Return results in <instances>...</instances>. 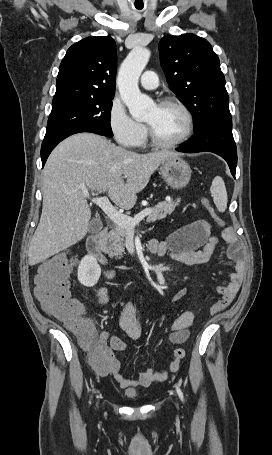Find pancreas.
<instances>
[{"mask_svg": "<svg viewBox=\"0 0 272 455\" xmlns=\"http://www.w3.org/2000/svg\"><path fill=\"white\" fill-rule=\"evenodd\" d=\"M179 202L180 199H177L176 201L170 200L159 202L156 206L151 208V213L148 215L147 222H155L156 220L164 219L168 214H171L174 211ZM127 234L128 229L115 224L107 236L108 246L105 248L104 252L111 258H121L125 252L124 242Z\"/></svg>", "mask_w": 272, "mask_h": 455, "instance_id": "pancreas-1", "label": "pancreas"}]
</instances>
